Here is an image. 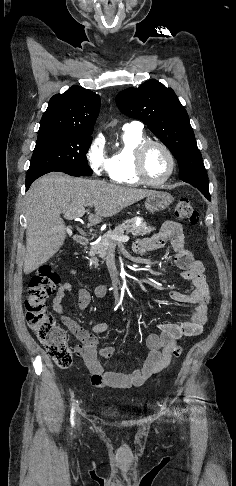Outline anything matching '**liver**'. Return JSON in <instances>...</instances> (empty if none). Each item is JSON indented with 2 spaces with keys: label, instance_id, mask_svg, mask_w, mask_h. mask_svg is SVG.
I'll list each match as a JSON object with an SVG mask.
<instances>
[{
  "label": "liver",
  "instance_id": "obj_1",
  "mask_svg": "<svg viewBox=\"0 0 236 486\" xmlns=\"http://www.w3.org/2000/svg\"><path fill=\"white\" fill-rule=\"evenodd\" d=\"M154 191L123 187L104 181L49 173L36 180L25 196L26 256L29 274L46 263L63 245L66 227L61 218L74 209L93 206L90 223L98 224Z\"/></svg>",
  "mask_w": 236,
  "mask_h": 486
}]
</instances>
